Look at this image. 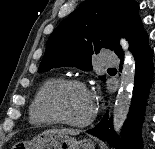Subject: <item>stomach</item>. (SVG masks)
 <instances>
[{"mask_svg":"<svg viewBox=\"0 0 155 149\" xmlns=\"http://www.w3.org/2000/svg\"><path fill=\"white\" fill-rule=\"evenodd\" d=\"M14 148L20 149H95L90 139L77 140L67 134L40 133L31 141L19 142Z\"/></svg>","mask_w":155,"mask_h":149,"instance_id":"1","label":"stomach"}]
</instances>
